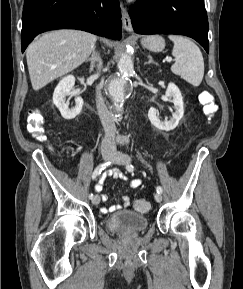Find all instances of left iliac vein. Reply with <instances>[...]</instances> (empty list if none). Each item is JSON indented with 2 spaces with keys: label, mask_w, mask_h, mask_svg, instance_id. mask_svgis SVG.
Returning a JSON list of instances; mask_svg holds the SVG:
<instances>
[{
  "label": "left iliac vein",
  "mask_w": 243,
  "mask_h": 289,
  "mask_svg": "<svg viewBox=\"0 0 243 289\" xmlns=\"http://www.w3.org/2000/svg\"><path fill=\"white\" fill-rule=\"evenodd\" d=\"M112 159L114 163L119 164V165H125L131 160V158L128 155L122 154L120 152H115ZM154 198L156 202L162 201V195L160 193H156L154 195Z\"/></svg>",
  "instance_id": "4c4485c4"
}]
</instances>
